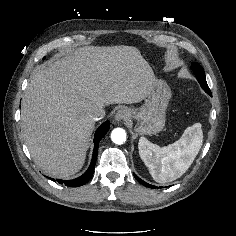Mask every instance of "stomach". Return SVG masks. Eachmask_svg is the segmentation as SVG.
I'll list each match as a JSON object with an SVG mask.
<instances>
[{"mask_svg": "<svg viewBox=\"0 0 236 236\" xmlns=\"http://www.w3.org/2000/svg\"><path fill=\"white\" fill-rule=\"evenodd\" d=\"M171 98L168 84L161 79H153L145 103L139 109L132 110L137 120L135 131L141 135H154L165 126L166 108Z\"/></svg>", "mask_w": 236, "mask_h": 236, "instance_id": "stomach-1", "label": "stomach"}]
</instances>
